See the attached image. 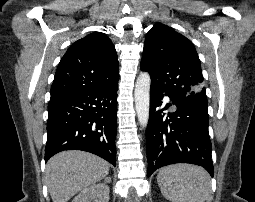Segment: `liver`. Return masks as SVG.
<instances>
[{"mask_svg": "<svg viewBox=\"0 0 255 202\" xmlns=\"http://www.w3.org/2000/svg\"><path fill=\"white\" fill-rule=\"evenodd\" d=\"M110 165L100 157L84 151H63L46 165V182L53 202H67L109 173Z\"/></svg>", "mask_w": 255, "mask_h": 202, "instance_id": "obj_1", "label": "liver"}]
</instances>
